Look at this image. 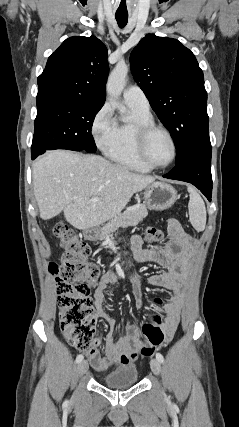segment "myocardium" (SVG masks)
<instances>
[{
  "mask_svg": "<svg viewBox=\"0 0 239 427\" xmlns=\"http://www.w3.org/2000/svg\"><path fill=\"white\" fill-rule=\"evenodd\" d=\"M156 132H161L164 135H166V137L169 139L172 146V157L167 163L163 165H156L152 163L147 156V146H148L149 140L152 137V135ZM136 148H137V154L140 160L150 169L166 168L170 166L177 157V144L172 134L166 128L156 125L154 123L141 124L137 127Z\"/></svg>",
  "mask_w": 239,
  "mask_h": 427,
  "instance_id": "myocardium-1",
  "label": "myocardium"
}]
</instances>
